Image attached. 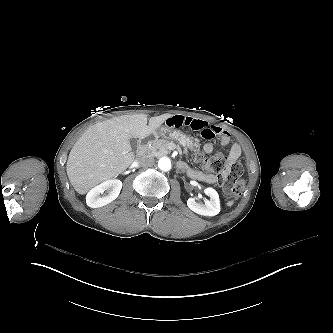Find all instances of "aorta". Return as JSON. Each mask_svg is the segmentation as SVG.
<instances>
[{
	"instance_id": "1",
	"label": "aorta",
	"mask_w": 333,
	"mask_h": 333,
	"mask_svg": "<svg viewBox=\"0 0 333 333\" xmlns=\"http://www.w3.org/2000/svg\"><path fill=\"white\" fill-rule=\"evenodd\" d=\"M158 167L163 171H169L171 169V161L168 157H162L158 161Z\"/></svg>"
}]
</instances>
